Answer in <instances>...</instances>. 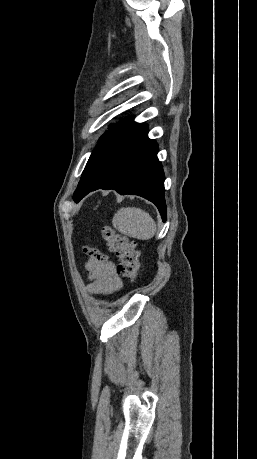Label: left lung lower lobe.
<instances>
[{"label": "left lung lower lobe", "instance_id": "left-lung-lower-lobe-1", "mask_svg": "<svg viewBox=\"0 0 257 459\" xmlns=\"http://www.w3.org/2000/svg\"><path fill=\"white\" fill-rule=\"evenodd\" d=\"M148 127L130 116L105 134L100 146V166L87 190L114 189L142 196L153 202L166 220L164 173L157 158L158 146L147 136Z\"/></svg>", "mask_w": 257, "mask_h": 459}]
</instances>
